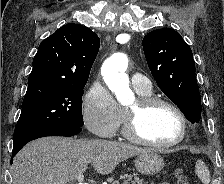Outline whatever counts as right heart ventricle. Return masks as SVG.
Returning <instances> with one entry per match:
<instances>
[{
  "mask_svg": "<svg viewBox=\"0 0 224 184\" xmlns=\"http://www.w3.org/2000/svg\"><path fill=\"white\" fill-rule=\"evenodd\" d=\"M136 91L139 94V96H150L151 95V90H149V91L136 90ZM124 118H125V112L122 111V121L121 122H124Z\"/></svg>",
  "mask_w": 224,
  "mask_h": 184,
  "instance_id": "1",
  "label": "right heart ventricle"
}]
</instances>
